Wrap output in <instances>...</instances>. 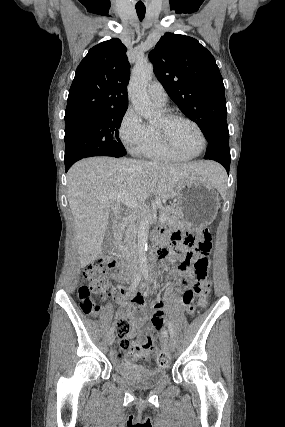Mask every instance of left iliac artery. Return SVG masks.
Listing matches in <instances>:
<instances>
[{"mask_svg":"<svg viewBox=\"0 0 285 427\" xmlns=\"http://www.w3.org/2000/svg\"><path fill=\"white\" fill-rule=\"evenodd\" d=\"M145 279H146L147 282L150 281V279L148 277V271H145ZM168 329H169L170 337L173 339V337H174L173 326H172V324H171V322L169 320H168Z\"/></svg>","mask_w":285,"mask_h":427,"instance_id":"1","label":"left iliac artery"}]
</instances>
